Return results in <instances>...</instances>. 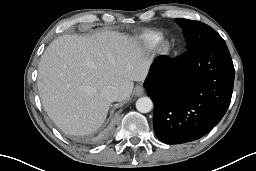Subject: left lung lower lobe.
<instances>
[{
  "instance_id": "0a47b994",
  "label": "left lung lower lobe",
  "mask_w": 256,
  "mask_h": 171,
  "mask_svg": "<svg viewBox=\"0 0 256 171\" xmlns=\"http://www.w3.org/2000/svg\"><path fill=\"white\" fill-rule=\"evenodd\" d=\"M233 84L234 66L225 43L197 45L173 60L156 58L144 82L154 103L156 136L180 144L207 134L226 113Z\"/></svg>"
}]
</instances>
